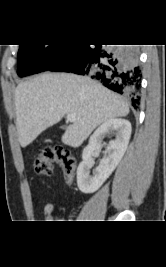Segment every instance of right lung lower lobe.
Listing matches in <instances>:
<instances>
[{
  "mask_svg": "<svg viewBox=\"0 0 166 267\" xmlns=\"http://www.w3.org/2000/svg\"><path fill=\"white\" fill-rule=\"evenodd\" d=\"M134 47L106 49L101 45H69L49 71L87 75L114 92L139 103L141 70Z\"/></svg>",
  "mask_w": 166,
  "mask_h": 267,
  "instance_id": "right-lung-lower-lobe-1",
  "label": "right lung lower lobe"
}]
</instances>
